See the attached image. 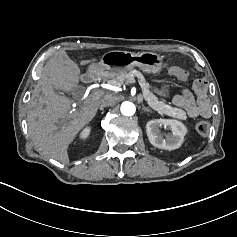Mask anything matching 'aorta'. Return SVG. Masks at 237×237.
I'll return each instance as SVG.
<instances>
[{
	"label": "aorta",
	"instance_id": "obj_1",
	"mask_svg": "<svg viewBox=\"0 0 237 237\" xmlns=\"http://www.w3.org/2000/svg\"><path fill=\"white\" fill-rule=\"evenodd\" d=\"M121 113L125 116H132L136 111V107L132 102L125 101L121 104Z\"/></svg>",
	"mask_w": 237,
	"mask_h": 237
}]
</instances>
